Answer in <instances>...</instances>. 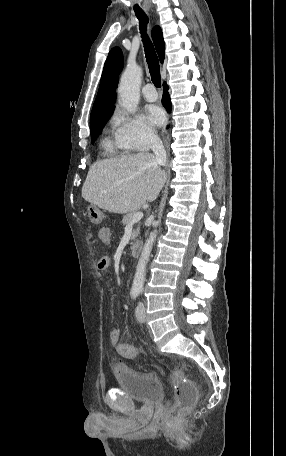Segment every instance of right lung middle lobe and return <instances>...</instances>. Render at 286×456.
Listing matches in <instances>:
<instances>
[{"mask_svg":"<svg viewBox=\"0 0 286 456\" xmlns=\"http://www.w3.org/2000/svg\"><path fill=\"white\" fill-rule=\"evenodd\" d=\"M112 113H113V111H110L90 122V126H91L90 132H91L92 143H94L95 140L98 138V136L101 134L103 127L105 126L106 122L109 120Z\"/></svg>","mask_w":286,"mask_h":456,"instance_id":"1","label":"right lung middle lobe"}]
</instances>
